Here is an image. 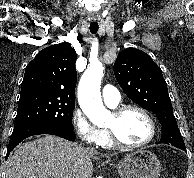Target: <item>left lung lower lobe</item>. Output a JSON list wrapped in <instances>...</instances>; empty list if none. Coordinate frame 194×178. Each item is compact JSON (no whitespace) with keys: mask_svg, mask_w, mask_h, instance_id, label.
<instances>
[{"mask_svg":"<svg viewBox=\"0 0 194 178\" xmlns=\"http://www.w3.org/2000/svg\"><path fill=\"white\" fill-rule=\"evenodd\" d=\"M158 143H165L186 151L185 144L177 125H166L162 128L161 140Z\"/></svg>","mask_w":194,"mask_h":178,"instance_id":"obj_1","label":"left lung lower lobe"}]
</instances>
